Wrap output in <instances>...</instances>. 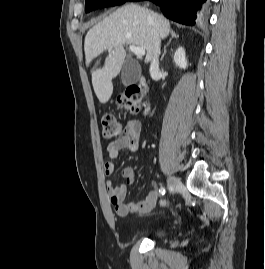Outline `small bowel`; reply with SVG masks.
<instances>
[{"mask_svg": "<svg viewBox=\"0 0 265 269\" xmlns=\"http://www.w3.org/2000/svg\"><path fill=\"white\" fill-rule=\"evenodd\" d=\"M142 134V125L138 120H128L124 127L123 134L109 142L106 146V152L110 159H116L120 153L136 152L139 148ZM114 171V165L111 161L104 164V172L111 176ZM121 177L124 182L116 184L112 179L106 183L107 193L111 205L119 216H127L129 213L147 214L156 205L158 192L152 190L146 198L140 202L125 203L127 186L132 185L135 180L134 169L130 166L124 167L121 171Z\"/></svg>", "mask_w": 265, "mask_h": 269, "instance_id": "small-bowel-1", "label": "small bowel"}]
</instances>
